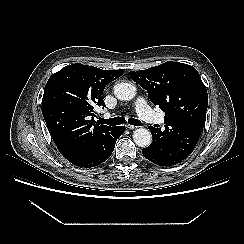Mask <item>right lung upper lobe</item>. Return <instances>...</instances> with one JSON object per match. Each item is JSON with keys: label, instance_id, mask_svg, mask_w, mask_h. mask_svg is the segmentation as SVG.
<instances>
[{"label": "right lung upper lobe", "instance_id": "right-lung-upper-lobe-1", "mask_svg": "<svg viewBox=\"0 0 244 244\" xmlns=\"http://www.w3.org/2000/svg\"><path fill=\"white\" fill-rule=\"evenodd\" d=\"M123 72L76 63L47 81L42 113L54 143L66 159L96 151L115 128L96 124L93 109L104 107L101 95L105 86Z\"/></svg>", "mask_w": 244, "mask_h": 244}]
</instances>
